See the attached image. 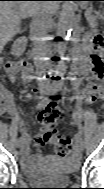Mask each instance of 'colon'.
I'll list each match as a JSON object with an SVG mask.
<instances>
[{
  "mask_svg": "<svg viewBox=\"0 0 104 189\" xmlns=\"http://www.w3.org/2000/svg\"><path fill=\"white\" fill-rule=\"evenodd\" d=\"M92 48V63L94 65L93 73L97 78H101L103 74V50L104 38L101 35H93L90 39ZM7 62L6 65H9ZM1 109H4V99L0 95ZM63 108L56 102H51L39 114V122L41 131L36 137V146L44 143H50L54 146L56 152L60 156H67L74 149L73 141L68 137H58L54 127L55 120L61 115Z\"/></svg>",
  "mask_w": 104,
  "mask_h": 189,
  "instance_id": "5ec220e1",
  "label": "colon"
}]
</instances>
